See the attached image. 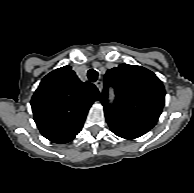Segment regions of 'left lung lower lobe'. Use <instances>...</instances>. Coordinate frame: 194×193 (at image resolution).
<instances>
[{"mask_svg":"<svg viewBox=\"0 0 194 193\" xmlns=\"http://www.w3.org/2000/svg\"><path fill=\"white\" fill-rule=\"evenodd\" d=\"M105 117L112 132L124 139L138 138L151 129L145 125L120 118L109 112H105Z\"/></svg>","mask_w":194,"mask_h":193,"instance_id":"1","label":"left lung lower lobe"}]
</instances>
